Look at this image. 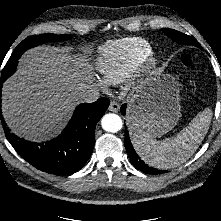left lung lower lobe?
<instances>
[{
    "label": "left lung lower lobe",
    "mask_w": 221,
    "mask_h": 221,
    "mask_svg": "<svg viewBox=\"0 0 221 221\" xmlns=\"http://www.w3.org/2000/svg\"><path fill=\"white\" fill-rule=\"evenodd\" d=\"M121 113L123 115H125L126 113V104L122 105L121 107ZM124 145H125V148H126V151L128 153V156L130 157V160L133 164V166L146 173V174H153V175H157V174H161V173H164V171L162 170H158L156 168H152V167H149L147 164H145L137 155H136V152L135 150L133 149V146L131 144V141H130V138H129V135H128V131L126 130L125 131V139H124Z\"/></svg>",
    "instance_id": "obj_1"
}]
</instances>
